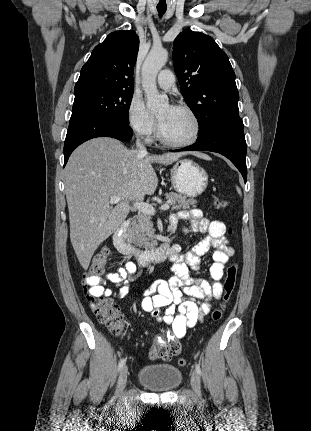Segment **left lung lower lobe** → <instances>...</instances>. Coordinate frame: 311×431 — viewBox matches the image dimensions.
Instances as JSON below:
<instances>
[{
	"label": "left lung lower lobe",
	"instance_id": "0a47b994",
	"mask_svg": "<svg viewBox=\"0 0 311 431\" xmlns=\"http://www.w3.org/2000/svg\"><path fill=\"white\" fill-rule=\"evenodd\" d=\"M198 150H208L224 155L238 168L246 182V141L241 118L224 120L204 136L198 137L195 144L171 151Z\"/></svg>",
	"mask_w": 311,
	"mask_h": 431
}]
</instances>
